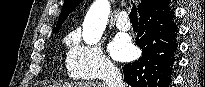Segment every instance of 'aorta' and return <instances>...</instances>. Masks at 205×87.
I'll list each match as a JSON object with an SVG mask.
<instances>
[{
  "label": "aorta",
  "mask_w": 205,
  "mask_h": 87,
  "mask_svg": "<svg viewBox=\"0 0 205 87\" xmlns=\"http://www.w3.org/2000/svg\"><path fill=\"white\" fill-rule=\"evenodd\" d=\"M110 14L108 0H95L89 8L83 23L82 37L87 45L97 44L106 28Z\"/></svg>",
  "instance_id": "obj_1"
}]
</instances>
